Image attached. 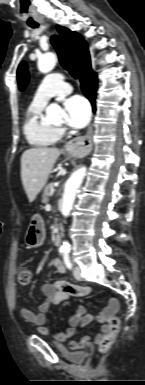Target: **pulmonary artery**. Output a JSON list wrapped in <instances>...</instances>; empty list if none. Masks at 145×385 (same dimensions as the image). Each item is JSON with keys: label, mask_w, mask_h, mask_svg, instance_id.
Instances as JSON below:
<instances>
[{"label": "pulmonary artery", "mask_w": 145, "mask_h": 385, "mask_svg": "<svg viewBox=\"0 0 145 385\" xmlns=\"http://www.w3.org/2000/svg\"><path fill=\"white\" fill-rule=\"evenodd\" d=\"M72 91V87L64 82L60 73L47 75L38 87L33 97V102L46 104L52 97L60 96Z\"/></svg>", "instance_id": "e3ab8cb5"}]
</instances>
